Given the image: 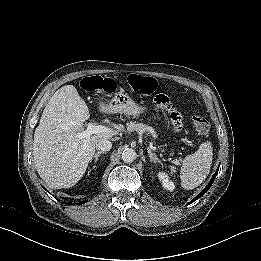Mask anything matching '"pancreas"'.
Wrapping results in <instances>:
<instances>
[{"mask_svg":"<svg viewBox=\"0 0 261 261\" xmlns=\"http://www.w3.org/2000/svg\"><path fill=\"white\" fill-rule=\"evenodd\" d=\"M126 128L129 132L137 131L138 133H146L147 135H156V132L152 127L143 123L128 122Z\"/></svg>","mask_w":261,"mask_h":261,"instance_id":"pancreas-1","label":"pancreas"}]
</instances>
